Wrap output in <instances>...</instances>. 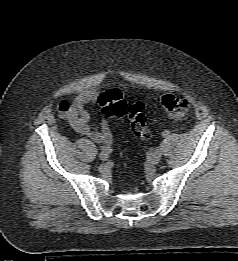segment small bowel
<instances>
[{
    "label": "small bowel",
    "instance_id": "c3829d8e",
    "mask_svg": "<svg viewBox=\"0 0 238 261\" xmlns=\"http://www.w3.org/2000/svg\"><path fill=\"white\" fill-rule=\"evenodd\" d=\"M100 94L97 89L84 90L71 103L61 102L59 113L77 133L95 143L109 145L112 142V133L108 121L103 119L99 128H92L89 124L90 114L86 109L87 104L98 102Z\"/></svg>",
    "mask_w": 238,
    "mask_h": 261
}]
</instances>
